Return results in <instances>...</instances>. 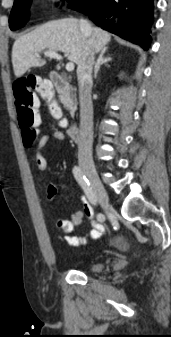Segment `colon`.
<instances>
[{"label": "colon", "mask_w": 171, "mask_h": 337, "mask_svg": "<svg viewBox=\"0 0 171 337\" xmlns=\"http://www.w3.org/2000/svg\"><path fill=\"white\" fill-rule=\"evenodd\" d=\"M13 89L23 144L30 148L36 141L37 133L43 132V127L38 126L40 116L34 94L39 93L41 103H47V106L41 107L45 119H65V112L59 108L62 101L57 91H52L49 83L40 77H22L14 83Z\"/></svg>", "instance_id": "colon-1"}]
</instances>
